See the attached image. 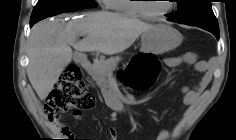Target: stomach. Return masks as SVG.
Here are the masks:
<instances>
[{
  "instance_id": "obj_1",
  "label": "stomach",
  "mask_w": 236,
  "mask_h": 140,
  "mask_svg": "<svg viewBox=\"0 0 236 140\" xmlns=\"http://www.w3.org/2000/svg\"><path fill=\"white\" fill-rule=\"evenodd\" d=\"M182 40L178 30L168 24L159 23L142 34L141 53L160 55L177 48Z\"/></svg>"
}]
</instances>
